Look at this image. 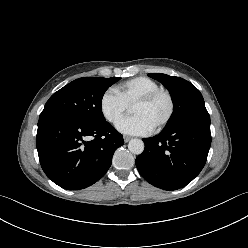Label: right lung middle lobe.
Instances as JSON below:
<instances>
[{"label": "right lung middle lobe", "instance_id": "obj_1", "mask_svg": "<svg viewBox=\"0 0 248 248\" xmlns=\"http://www.w3.org/2000/svg\"><path fill=\"white\" fill-rule=\"evenodd\" d=\"M120 77H83L55 92L45 104L40 117L64 114L88 122H105L101 101L105 91Z\"/></svg>", "mask_w": 248, "mask_h": 248}]
</instances>
